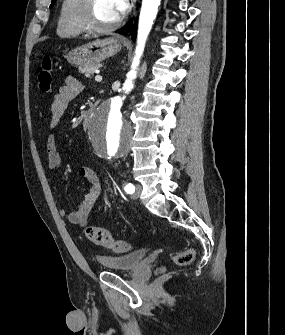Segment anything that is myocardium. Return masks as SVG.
<instances>
[{"label": "myocardium", "mask_w": 285, "mask_h": 335, "mask_svg": "<svg viewBox=\"0 0 285 335\" xmlns=\"http://www.w3.org/2000/svg\"><path fill=\"white\" fill-rule=\"evenodd\" d=\"M94 4L95 1H83L81 22L84 31L92 35H100L115 30L119 26L120 18L112 25L106 27H100L95 24L93 18Z\"/></svg>", "instance_id": "obj_1"}]
</instances>
